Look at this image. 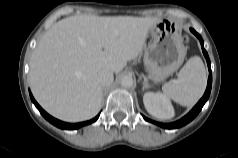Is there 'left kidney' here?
<instances>
[{
  "label": "left kidney",
  "mask_w": 238,
  "mask_h": 158,
  "mask_svg": "<svg viewBox=\"0 0 238 158\" xmlns=\"http://www.w3.org/2000/svg\"><path fill=\"white\" fill-rule=\"evenodd\" d=\"M147 112L158 119L174 117V108L167 96L162 93L147 92L143 96Z\"/></svg>",
  "instance_id": "obj_1"
}]
</instances>
